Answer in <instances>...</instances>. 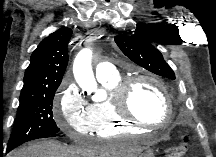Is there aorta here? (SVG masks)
<instances>
[{
  "mask_svg": "<svg viewBox=\"0 0 216 157\" xmlns=\"http://www.w3.org/2000/svg\"><path fill=\"white\" fill-rule=\"evenodd\" d=\"M91 58L92 53L89 49H83L77 55L74 66H73V73L76 82L78 85L87 91H96L97 83L92 71L91 66ZM103 96L101 94L95 95V100H101Z\"/></svg>",
  "mask_w": 216,
  "mask_h": 157,
  "instance_id": "762f6f07",
  "label": "aorta"
}]
</instances>
